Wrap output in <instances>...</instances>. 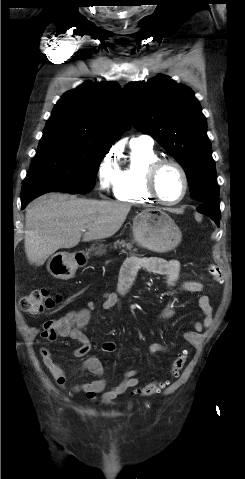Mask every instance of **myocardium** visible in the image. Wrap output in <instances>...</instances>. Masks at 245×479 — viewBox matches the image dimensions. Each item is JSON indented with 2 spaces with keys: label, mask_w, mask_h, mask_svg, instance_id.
<instances>
[{
  "label": "myocardium",
  "mask_w": 245,
  "mask_h": 479,
  "mask_svg": "<svg viewBox=\"0 0 245 479\" xmlns=\"http://www.w3.org/2000/svg\"><path fill=\"white\" fill-rule=\"evenodd\" d=\"M166 166H173L179 173L182 178L183 182V191L181 196L174 200V201H167L165 200L159 193L158 190V177L160 172L165 168ZM146 189L148 193L159 203L164 204V205H176L182 202L189 189V179L187 172L183 165L178 162L175 159L172 158H158L155 160L148 168L147 174H146Z\"/></svg>",
  "instance_id": "myocardium-1"
}]
</instances>
